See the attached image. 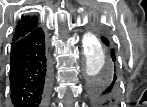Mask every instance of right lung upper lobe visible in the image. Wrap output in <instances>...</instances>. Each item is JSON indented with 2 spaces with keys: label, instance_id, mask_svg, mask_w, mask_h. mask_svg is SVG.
<instances>
[{
  "label": "right lung upper lobe",
  "instance_id": "1",
  "mask_svg": "<svg viewBox=\"0 0 147 107\" xmlns=\"http://www.w3.org/2000/svg\"><path fill=\"white\" fill-rule=\"evenodd\" d=\"M38 23L39 22L37 17L22 18L16 26L12 41L15 42L32 32L33 30L39 28Z\"/></svg>",
  "mask_w": 147,
  "mask_h": 107
}]
</instances>
